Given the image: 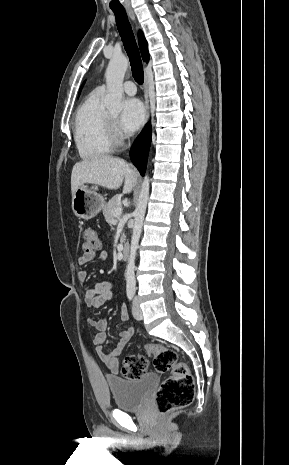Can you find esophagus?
Returning a JSON list of instances; mask_svg holds the SVG:
<instances>
[{
  "mask_svg": "<svg viewBox=\"0 0 289 465\" xmlns=\"http://www.w3.org/2000/svg\"><path fill=\"white\" fill-rule=\"evenodd\" d=\"M127 11H128V14H129L130 18L133 21H135V15H134L133 11L130 8ZM147 90H148V78L145 75V79H144L145 107H146L145 124L148 122V119H149V100H148Z\"/></svg>",
  "mask_w": 289,
  "mask_h": 465,
  "instance_id": "obj_1",
  "label": "esophagus"
}]
</instances>
